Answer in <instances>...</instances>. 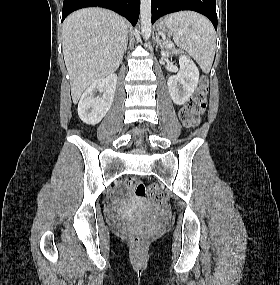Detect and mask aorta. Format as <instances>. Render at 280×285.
Returning a JSON list of instances; mask_svg holds the SVG:
<instances>
[{"label": "aorta", "mask_w": 280, "mask_h": 285, "mask_svg": "<svg viewBox=\"0 0 280 285\" xmlns=\"http://www.w3.org/2000/svg\"><path fill=\"white\" fill-rule=\"evenodd\" d=\"M141 33L145 40L151 36V0H141L140 7Z\"/></svg>", "instance_id": "1"}]
</instances>
